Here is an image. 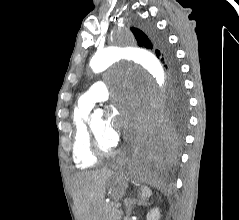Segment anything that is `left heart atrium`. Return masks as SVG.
<instances>
[{"label": "left heart atrium", "mask_w": 239, "mask_h": 220, "mask_svg": "<svg viewBox=\"0 0 239 220\" xmlns=\"http://www.w3.org/2000/svg\"><path fill=\"white\" fill-rule=\"evenodd\" d=\"M133 104L129 100L119 102V109L114 110L106 120L105 137L116 144L121 135V130L129 131L133 126V119L128 115L132 112Z\"/></svg>", "instance_id": "left-heart-atrium-1"}]
</instances>
